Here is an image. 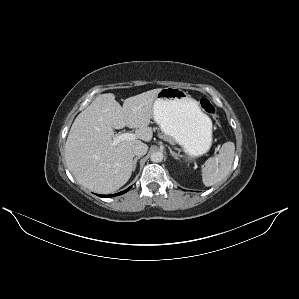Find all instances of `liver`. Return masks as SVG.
<instances>
[{
    "label": "liver",
    "mask_w": 299,
    "mask_h": 299,
    "mask_svg": "<svg viewBox=\"0 0 299 299\" xmlns=\"http://www.w3.org/2000/svg\"><path fill=\"white\" fill-rule=\"evenodd\" d=\"M161 89L124 100L121 106L112 93L98 95L74 120L65 144L66 164L82 186L102 194L122 187L133 169V149L149 142L153 132V102ZM135 128V140L113 146L114 129Z\"/></svg>",
    "instance_id": "6515ba94"
}]
</instances>
